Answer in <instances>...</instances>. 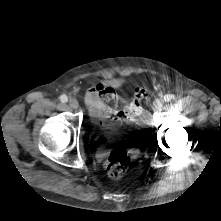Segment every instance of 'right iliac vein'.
Segmentation results:
<instances>
[{
	"label": "right iliac vein",
	"instance_id": "63e3f726",
	"mask_svg": "<svg viewBox=\"0 0 221 221\" xmlns=\"http://www.w3.org/2000/svg\"><path fill=\"white\" fill-rule=\"evenodd\" d=\"M69 106L73 109H77L79 107V103L76 99H70L69 100Z\"/></svg>",
	"mask_w": 221,
	"mask_h": 221
}]
</instances>
